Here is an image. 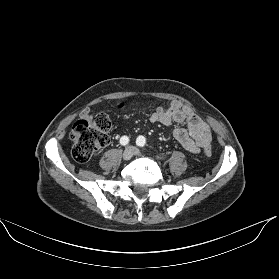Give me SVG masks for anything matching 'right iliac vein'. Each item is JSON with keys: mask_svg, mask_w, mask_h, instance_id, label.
I'll list each match as a JSON object with an SVG mask.
<instances>
[{"mask_svg": "<svg viewBox=\"0 0 279 279\" xmlns=\"http://www.w3.org/2000/svg\"><path fill=\"white\" fill-rule=\"evenodd\" d=\"M133 155H134V148L127 147L122 154V158H123V160L127 161V160H130Z\"/></svg>", "mask_w": 279, "mask_h": 279, "instance_id": "obj_1", "label": "right iliac vein"}]
</instances>
